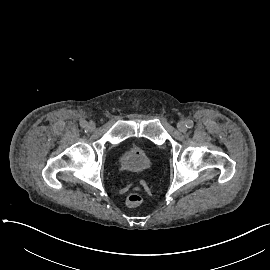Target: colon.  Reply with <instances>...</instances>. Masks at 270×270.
<instances>
[{
	"label": "colon",
	"instance_id": "1",
	"mask_svg": "<svg viewBox=\"0 0 270 270\" xmlns=\"http://www.w3.org/2000/svg\"><path fill=\"white\" fill-rule=\"evenodd\" d=\"M143 202V196L138 192H131L126 196L125 203L127 206L136 207Z\"/></svg>",
	"mask_w": 270,
	"mask_h": 270
}]
</instances>
